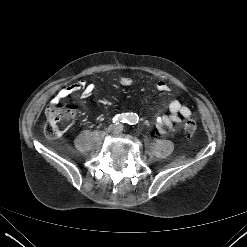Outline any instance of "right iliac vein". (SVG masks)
I'll use <instances>...</instances> for the list:
<instances>
[{
    "mask_svg": "<svg viewBox=\"0 0 247 247\" xmlns=\"http://www.w3.org/2000/svg\"><path fill=\"white\" fill-rule=\"evenodd\" d=\"M115 130H116V127H115V126H110V127H109V131H110V132H114Z\"/></svg>",
    "mask_w": 247,
    "mask_h": 247,
    "instance_id": "obj_1",
    "label": "right iliac vein"
}]
</instances>
